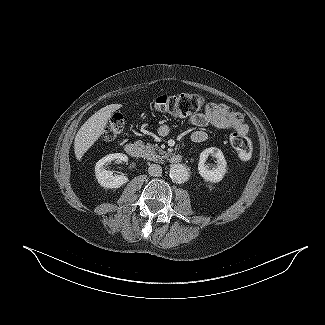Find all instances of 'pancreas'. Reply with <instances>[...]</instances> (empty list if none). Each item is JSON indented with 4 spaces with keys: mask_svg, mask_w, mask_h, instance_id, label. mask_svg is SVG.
<instances>
[{
    "mask_svg": "<svg viewBox=\"0 0 325 325\" xmlns=\"http://www.w3.org/2000/svg\"><path fill=\"white\" fill-rule=\"evenodd\" d=\"M143 157L150 161L162 162L167 158V153L160 149L158 145L146 144L143 147Z\"/></svg>",
    "mask_w": 325,
    "mask_h": 325,
    "instance_id": "obj_1",
    "label": "pancreas"
}]
</instances>
